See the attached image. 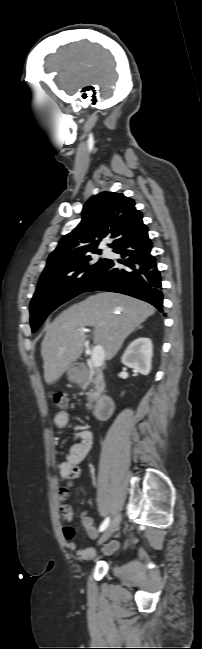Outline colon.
Instances as JSON below:
<instances>
[{
  "instance_id": "obj_1",
  "label": "colon",
  "mask_w": 202,
  "mask_h": 649,
  "mask_svg": "<svg viewBox=\"0 0 202 649\" xmlns=\"http://www.w3.org/2000/svg\"><path fill=\"white\" fill-rule=\"evenodd\" d=\"M53 400L57 407L65 408L67 406L68 396L65 392H55Z\"/></svg>"
}]
</instances>
